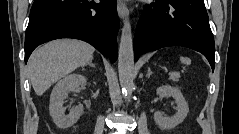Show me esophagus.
<instances>
[{
  "instance_id": "obj_1",
  "label": "esophagus",
  "mask_w": 239,
  "mask_h": 134,
  "mask_svg": "<svg viewBox=\"0 0 239 134\" xmlns=\"http://www.w3.org/2000/svg\"><path fill=\"white\" fill-rule=\"evenodd\" d=\"M117 12H118V16L121 18V19H125L127 16H128V9H127V6L126 4L121 1V0H118L117 1Z\"/></svg>"
}]
</instances>
